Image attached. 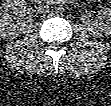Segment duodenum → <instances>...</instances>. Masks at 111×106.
Segmentation results:
<instances>
[{"mask_svg":"<svg viewBox=\"0 0 111 106\" xmlns=\"http://www.w3.org/2000/svg\"><path fill=\"white\" fill-rule=\"evenodd\" d=\"M55 2H57V3H66V2H68V0H56Z\"/></svg>","mask_w":111,"mask_h":106,"instance_id":"410a0bca","label":"duodenum"}]
</instances>
